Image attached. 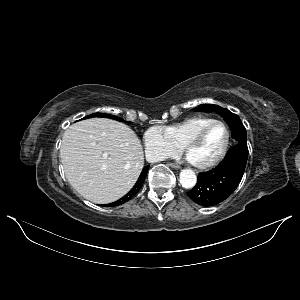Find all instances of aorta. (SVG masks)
Masks as SVG:
<instances>
[{"label": "aorta", "mask_w": 300, "mask_h": 300, "mask_svg": "<svg viewBox=\"0 0 300 300\" xmlns=\"http://www.w3.org/2000/svg\"><path fill=\"white\" fill-rule=\"evenodd\" d=\"M197 182V177L193 170L183 169L180 172V183L186 189L193 188Z\"/></svg>", "instance_id": "obj_1"}]
</instances>
